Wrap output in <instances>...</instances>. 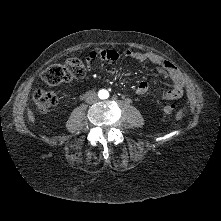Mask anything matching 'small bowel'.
I'll return each mask as SVG.
<instances>
[{"label":"small bowel","mask_w":221,"mask_h":221,"mask_svg":"<svg viewBox=\"0 0 221 221\" xmlns=\"http://www.w3.org/2000/svg\"><path fill=\"white\" fill-rule=\"evenodd\" d=\"M129 57L138 62H150L157 70L171 81V88L160 92V97L164 100H175L183 95L184 78L179 69L170 61L152 52H139L130 49L118 51L111 48L91 49L86 56V62L90 67L95 60L118 61L122 57ZM149 84L140 82L136 92L138 95H145L149 91Z\"/></svg>","instance_id":"obj_1"}]
</instances>
